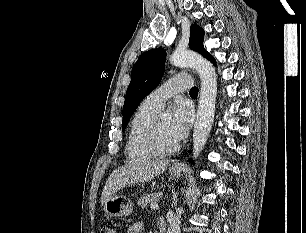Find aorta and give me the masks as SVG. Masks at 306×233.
Segmentation results:
<instances>
[{
	"instance_id": "obj_1",
	"label": "aorta",
	"mask_w": 306,
	"mask_h": 233,
	"mask_svg": "<svg viewBox=\"0 0 306 233\" xmlns=\"http://www.w3.org/2000/svg\"><path fill=\"white\" fill-rule=\"evenodd\" d=\"M170 62L178 67L194 68L201 79V92L193 132V158H197L209 137L215 114L217 77L214 66L201 55L188 50H175ZM180 208H178V211ZM181 215L170 223L167 233H180Z\"/></svg>"
}]
</instances>
